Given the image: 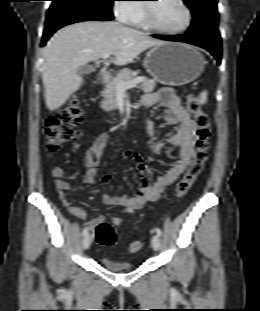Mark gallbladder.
<instances>
[{
  "instance_id": "bac80fb5",
  "label": "gallbladder",
  "mask_w": 260,
  "mask_h": 311,
  "mask_svg": "<svg viewBox=\"0 0 260 311\" xmlns=\"http://www.w3.org/2000/svg\"><path fill=\"white\" fill-rule=\"evenodd\" d=\"M93 67L90 65H83L78 69L79 74H89L93 71Z\"/></svg>"
}]
</instances>
